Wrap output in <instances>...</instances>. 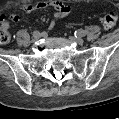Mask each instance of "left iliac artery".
Wrapping results in <instances>:
<instances>
[{"label":"left iliac artery","instance_id":"left-iliac-artery-1","mask_svg":"<svg viewBox=\"0 0 119 119\" xmlns=\"http://www.w3.org/2000/svg\"><path fill=\"white\" fill-rule=\"evenodd\" d=\"M86 35H87L86 30L79 29V30L75 31V37H77V38L84 37Z\"/></svg>","mask_w":119,"mask_h":119}]
</instances>
